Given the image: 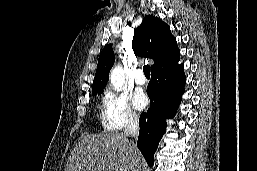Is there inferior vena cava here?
I'll return each instance as SVG.
<instances>
[{"instance_id": "obj_1", "label": "inferior vena cava", "mask_w": 257, "mask_h": 171, "mask_svg": "<svg viewBox=\"0 0 257 171\" xmlns=\"http://www.w3.org/2000/svg\"><path fill=\"white\" fill-rule=\"evenodd\" d=\"M125 136H131L137 138L139 135V118L136 114H131L126 122L125 129H124ZM133 149L136 150L137 147L133 143ZM133 171H140V165L135 163Z\"/></svg>"}]
</instances>
